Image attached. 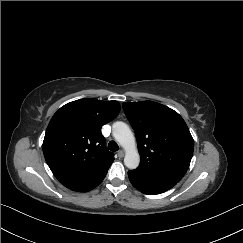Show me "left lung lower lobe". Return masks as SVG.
Instances as JSON below:
<instances>
[{"label":"left lung lower lobe","instance_id":"obj_1","mask_svg":"<svg viewBox=\"0 0 243 243\" xmlns=\"http://www.w3.org/2000/svg\"><path fill=\"white\" fill-rule=\"evenodd\" d=\"M181 169H169L150 174L128 172L132 185L144 194H160L175 186L185 175Z\"/></svg>","mask_w":243,"mask_h":243}]
</instances>
